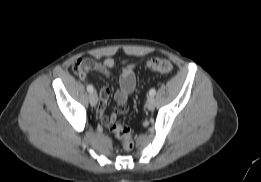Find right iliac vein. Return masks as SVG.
Here are the masks:
<instances>
[{
  "instance_id": "right-iliac-vein-1",
  "label": "right iliac vein",
  "mask_w": 261,
  "mask_h": 182,
  "mask_svg": "<svg viewBox=\"0 0 261 182\" xmlns=\"http://www.w3.org/2000/svg\"><path fill=\"white\" fill-rule=\"evenodd\" d=\"M89 101L92 106H96V104L98 102V96L95 92L90 93Z\"/></svg>"
}]
</instances>
